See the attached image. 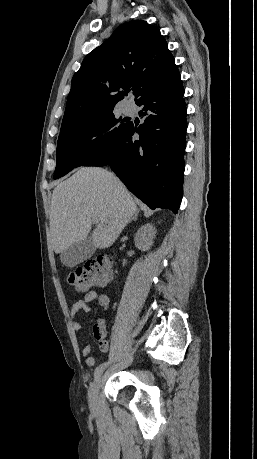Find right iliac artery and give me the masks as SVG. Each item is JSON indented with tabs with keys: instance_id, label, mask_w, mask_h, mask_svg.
Here are the masks:
<instances>
[{
	"instance_id": "obj_1",
	"label": "right iliac artery",
	"mask_w": 257,
	"mask_h": 459,
	"mask_svg": "<svg viewBox=\"0 0 257 459\" xmlns=\"http://www.w3.org/2000/svg\"><path fill=\"white\" fill-rule=\"evenodd\" d=\"M108 364L109 362H105V363L100 364L98 367H96L95 372H94L95 379L102 374V372L104 371V369L107 367Z\"/></svg>"
}]
</instances>
